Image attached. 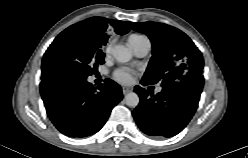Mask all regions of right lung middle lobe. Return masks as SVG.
<instances>
[{
  "label": "right lung middle lobe",
  "instance_id": "dd1d6c3e",
  "mask_svg": "<svg viewBox=\"0 0 248 158\" xmlns=\"http://www.w3.org/2000/svg\"><path fill=\"white\" fill-rule=\"evenodd\" d=\"M101 47L83 40L76 32L65 29L44 54L42 79L85 80L104 63Z\"/></svg>",
  "mask_w": 248,
  "mask_h": 158
}]
</instances>
